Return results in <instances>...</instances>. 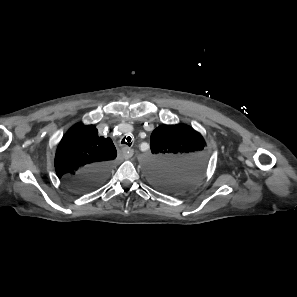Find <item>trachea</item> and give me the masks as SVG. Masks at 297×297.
<instances>
[{"label":"trachea","mask_w":297,"mask_h":297,"mask_svg":"<svg viewBox=\"0 0 297 297\" xmlns=\"http://www.w3.org/2000/svg\"><path fill=\"white\" fill-rule=\"evenodd\" d=\"M121 144H125V145H128L129 147L131 146L132 142H131V137L128 136V137H124L121 141Z\"/></svg>","instance_id":"3493384b"}]
</instances>
